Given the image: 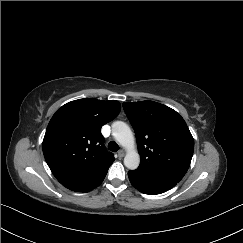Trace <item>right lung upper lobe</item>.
Listing matches in <instances>:
<instances>
[{"label":"right lung upper lobe","instance_id":"cb5924a9","mask_svg":"<svg viewBox=\"0 0 243 243\" xmlns=\"http://www.w3.org/2000/svg\"><path fill=\"white\" fill-rule=\"evenodd\" d=\"M120 109L116 100L84 98L55 112L42 147L51 172L61 184L86 177L114 161V155L104 146L101 127L112 121Z\"/></svg>","mask_w":243,"mask_h":243}]
</instances>
